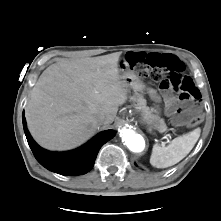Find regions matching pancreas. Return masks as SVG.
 Returning a JSON list of instances; mask_svg holds the SVG:
<instances>
[{"instance_id":"1","label":"pancreas","mask_w":221,"mask_h":221,"mask_svg":"<svg viewBox=\"0 0 221 221\" xmlns=\"http://www.w3.org/2000/svg\"><path fill=\"white\" fill-rule=\"evenodd\" d=\"M136 104L134 105L138 111H142L143 114L148 115L150 113L149 108L146 106V100L143 97H138L135 99ZM159 131H164L166 129V124L163 119H159Z\"/></svg>"}]
</instances>
